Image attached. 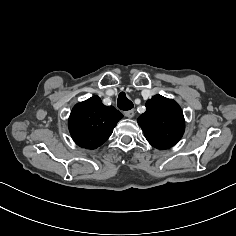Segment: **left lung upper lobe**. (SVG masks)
<instances>
[{
	"instance_id": "5c2ea615",
	"label": "left lung upper lobe",
	"mask_w": 236,
	"mask_h": 236,
	"mask_svg": "<svg viewBox=\"0 0 236 236\" xmlns=\"http://www.w3.org/2000/svg\"><path fill=\"white\" fill-rule=\"evenodd\" d=\"M148 142L157 149L174 146L183 136L185 120L178 103L155 95L146 103V112L138 118Z\"/></svg>"
}]
</instances>
